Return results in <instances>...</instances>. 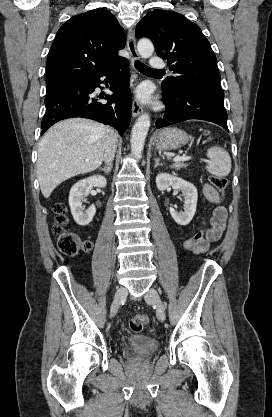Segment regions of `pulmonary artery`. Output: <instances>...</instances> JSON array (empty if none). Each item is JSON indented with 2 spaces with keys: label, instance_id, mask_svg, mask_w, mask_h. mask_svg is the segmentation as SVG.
Wrapping results in <instances>:
<instances>
[{
  "label": "pulmonary artery",
  "instance_id": "pulmonary-artery-1",
  "mask_svg": "<svg viewBox=\"0 0 272 417\" xmlns=\"http://www.w3.org/2000/svg\"><path fill=\"white\" fill-rule=\"evenodd\" d=\"M150 66L154 70L165 68V62L159 57H153L150 61Z\"/></svg>",
  "mask_w": 272,
  "mask_h": 417
}]
</instances>
